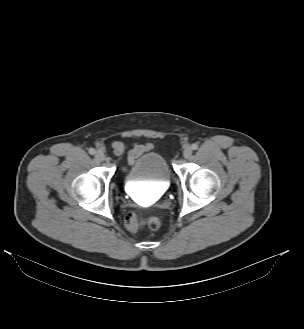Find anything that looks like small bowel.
Here are the masks:
<instances>
[{
	"mask_svg": "<svg viewBox=\"0 0 304 329\" xmlns=\"http://www.w3.org/2000/svg\"><path fill=\"white\" fill-rule=\"evenodd\" d=\"M114 152L118 155L125 154L127 165L130 166L141 154L145 153L151 148L150 144L134 143L129 149L120 142L115 141L112 144Z\"/></svg>",
	"mask_w": 304,
	"mask_h": 329,
	"instance_id": "1",
	"label": "small bowel"
}]
</instances>
